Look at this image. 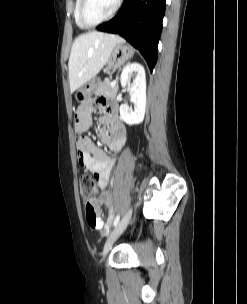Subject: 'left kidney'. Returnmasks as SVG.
Instances as JSON below:
<instances>
[{"mask_svg": "<svg viewBox=\"0 0 247 304\" xmlns=\"http://www.w3.org/2000/svg\"><path fill=\"white\" fill-rule=\"evenodd\" d=\"M137 73L134 84L129 86V78ZM121 86H129L131 102L134 104V111L127 104L120 106V116L129 125L139 124L143 121L146 106V76L144 67L137 62L128 64L121 73Z\"/></svg>", "mask_w": 247, "mask_h": 304, "instance_id": "left-kidney-1", "label": "left kidney"}]
</instances>
